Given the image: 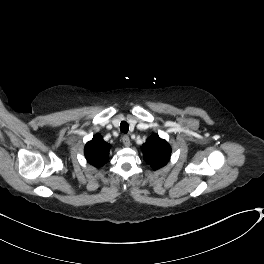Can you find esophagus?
<instances>
[{
    "label": "esophagus",
    "instance_id": "34e87169",
    "mask_svg": "<svg viewBox=\"0 0 264 264\" xmlns=\"http://www.w3.org/2000/svg\"><path fill=\"white\" fill-rule=\"evenodd\" d=\"M122 142L126 147H130L131 146V142H130V138L128 135H124L122 137Z\"/></svg>",
    "mask_w": 264,
    "mask_h": 264
}]
</instances>
